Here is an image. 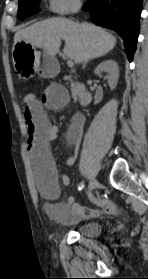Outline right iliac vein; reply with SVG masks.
Wrapping results in <instances>:
<instances>
[{"instance_id":"1","label":"right iliac vein","mask_w":148,"mask_h":279,"mask_svg":"<svg viewBox=\"0 0 148 279\" xmlns=\"http://www.w3.org/2000/svg\"><path fill=\"white\" fill-rule=\"evenodd\" d=\"M97 187V180L95 178H92L89 182V187L87 190V195L91 196L95 188Z\"/></svg>"}]
</instances>
